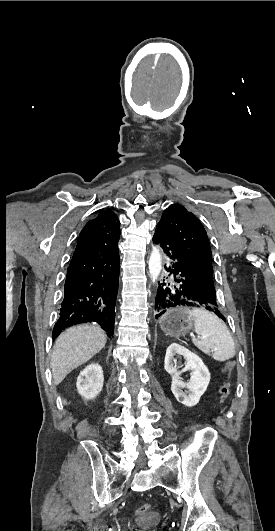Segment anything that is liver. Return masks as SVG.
<instances>
[{"label":"liver","mask_w":275,"mask_h":531,"mask_svg":"<svg viewBox=\"0 0 275 531\" xmlns=\"http://www.w3.org/2000/svg\"><path fill=\"white\" fill-rule=\"evenodd\" d=\"M107 335L98 325H77L59 335L52 353L54 385H59L68 373L84 365L104 349Z\"/></svg>","instance_id":"liver-1"}]
</instances>
